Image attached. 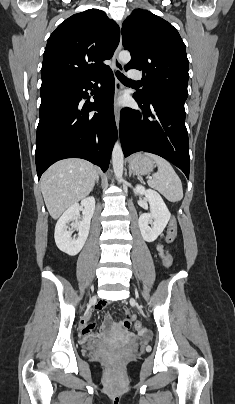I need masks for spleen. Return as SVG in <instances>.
<instances>
[{
  "instance_id": "3e777b00",
  "label": "spleen",
  "mask_w": 235,
  "mask_h": 404,
  "mask_svg": "<svg viewBox=\"0 0 235 404\" xmlns=\"http://www.w3.org/2000/svg\"><path fill=\"white\" fill-rule=\"evenodd\" d=\"M158 166V171L149 177L148 183L157 189L170 202H178L183 198L182 183L171 164L164 158L147 153L145 154Z\"/></svg>"
}]
</instances>
